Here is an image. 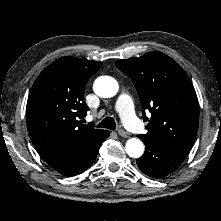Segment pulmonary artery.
Wrapping results in <instances>:
<instances>
[{
	"instance_id": "pulmonary-artery-1",
	"label": "pulmonary artery",
	"mask_w": 221,
	"mask_h": 221,
	"mask_svg": "<svg viewBox=\"0 0 221 221\" xmlns=\"http://www.w3.org/2000/svg\"><path fill=\"white\" fill-rule=\"evenodd\" d=\"M115 109L120 115L124 125L133 132H141L143 129L141 121L137 118L134 111V105L132 98L126 94L122 93L115 105Z\"/></svg>"
}]
</instances>
